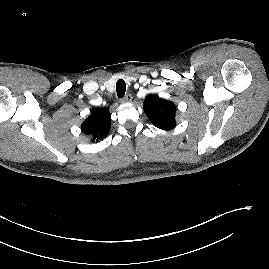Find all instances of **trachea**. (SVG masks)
I'll return each instance as SVG.
<instances>
[{
  "label": "trachea",
  "mask_w": 269,
  "mask_h": 269,
  "mask_svg": "<svg viewBox=\"0 0 269 269\" xmlns=\"http://www.w3.org/2000/svg\"><path fill=\"white\" fill-rule=\"evenodd\" d=\"M117 96L119 98L124 97L126 92V83L123 79H119L116 83Z\"/></svg>",
  "instance_id": "3493384b"
}]
</instances>
